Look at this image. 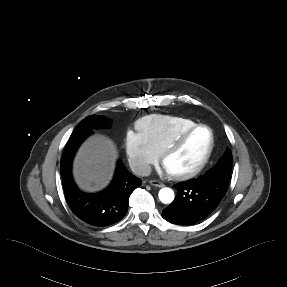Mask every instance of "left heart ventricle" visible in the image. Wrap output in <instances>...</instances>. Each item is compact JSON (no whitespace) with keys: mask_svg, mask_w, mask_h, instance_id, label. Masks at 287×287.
<instances>
[{"mask_svg":"<svg viewBox=\"0 0 287 287\" xmlns=\"http://www.w3.org/2000/svg\"><path fill=\"white\" fill-rule=\"evenodd\" d=\"M210 144V133L205 128L196 130L184 144L163 164L169 173L186 172L193 169L203 158Z\"/></svg>","mask_w":287,"mask_h":287,"instance_id":"b2bd125f","label":"left heart ventricle"}]
</instances>
